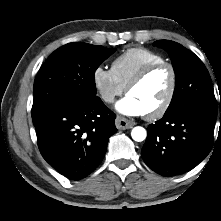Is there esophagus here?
Wrapping results in <instances>:
<instances>
[{
    "mask_svg": "<svg viewBox=\"0 0 221 221\" xmlns=\"http://www.w3.org/2000/svg\"><path fill=\"white\" fill-rule=\"evenodd\" d=\"M115 124H116V127L121 130L132 128L135 125L134 122L129 121L126 118H123L120 116H117L115 120Z\"/></svg>",
    "mask_w": 221,
    "mask_h": 221,
    "instance_id": "34e87169",
    "label": "esophagus"
}]
</instances>
